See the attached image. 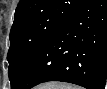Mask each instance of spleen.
<instances>
[{"label": "spleen", "instance_id": "spleen-1", "mask_svg": "<svg viewBox=\"0 0 107 89\" xmlns=\"http://www.w3.org/2000/svg\"><path fill=\"white\" fill-rule=\"evenodd\" d=\"M55 88L56 89H79L77 86H70V85H66V84L56 85Z\"/></svg>", "mask_w": 107, "mask_h": 89}]
</instances>
